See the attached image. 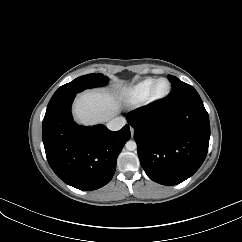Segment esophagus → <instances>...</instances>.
<instances>
[{"mask_svg": "<svg viewBox=\"0 0 242 242\" xmlns=\"http://www.w3.org/2000/svg\"><path fill=\"white\" fill-rule=\"evenodd\" d=\"M130 130H131V136H133V134H134L133 128H130Z\"/></svg>", "mask_w": 242, "mask_h": 242, "instance_id": "esophagus-1", "label": "esophagus"}]
</instances>
